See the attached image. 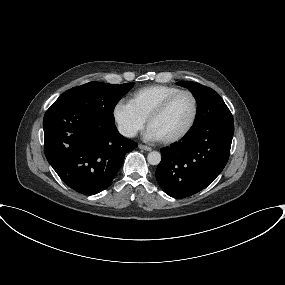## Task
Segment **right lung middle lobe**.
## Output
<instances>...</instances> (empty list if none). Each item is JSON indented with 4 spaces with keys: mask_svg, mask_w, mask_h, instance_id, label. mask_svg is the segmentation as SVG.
I'll use <instances>...</instances> for the list:
<instances>
[{
    "mask_svg": "<svg viewBox=\"0 0 285 285\" xmlns=\"http://www.w3.org/2000/svg\"><path fill=\"white\" fill-rule=\"evenodd\" d=\"M133 85L134 83L112 85L89 82L67 90L55 102L75 107L101 121L114 124V108Z\"/></svg>",
    "mask_w": 285,
    "mask_h": 285,
    "instance_id": "obj_1",
    "label": "right lung middle lobe"
}]
</instances>
